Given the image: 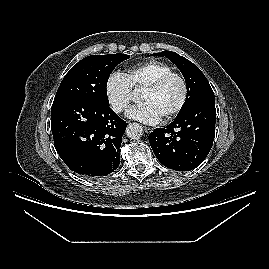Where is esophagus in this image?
I'll use <instances>...</instances> for the list:
<instances>
[{
    "label": "esophagus",
    "instance_id": "esophagus-1",
    "mask_svg": "<svg viewBox=\"0 0 269 269\" xmlns=\"http://www.w3.org/2000/svg\"><path fill=\"white\" fill-rule=\"evenodd\" d=\"M143 129H144V131H145L146 133H150V132L153 131V128H151V127L143 126Z\"/></svg>",
    "mask_w": 269,
    "mask_h": 269
}]
</instances>
